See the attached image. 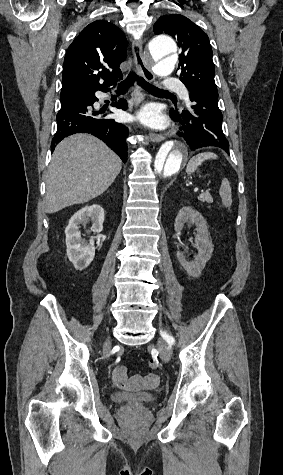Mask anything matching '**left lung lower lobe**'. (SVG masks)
Segmentation results:
<instances>
[{
	"label": "left lung lower lobe",
	"instance_id": "0a47b994",
	"mask_svg": "<svg viewBox=\"0 0 283 475\" xmlns=\"http://www.w3.org/2000/svg\"><path fill=\"white\" fill-rule=\"evenodd\" d=\"M190 107L184 110L171 109V116L182 126L180 133L190 151L214 146L229 153V142L223 134V116L218 107V93L190 90Z\"/></svg>",
	"mask_w": 283,
	"mask_h": 475
}]
</instances>
